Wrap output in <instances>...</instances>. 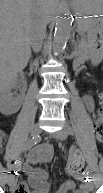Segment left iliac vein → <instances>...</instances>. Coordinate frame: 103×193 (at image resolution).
I'll return each mask as SVG.
<instances>
[{
	"mask_svg": "<svg viewBox=\"0 0 103 193\" xmlns=\"http://www.w3.org/2000/svg\"><path fill=\"white\" fill-rule=\"evenodd\" d=\"M53 136H54L56 139L65 140V139L67 138L66 129H61V130L55 132V133L53 134ZM87 186H88L89 189H92V188H93L92 182H88V183H87Z\"/></svg>",
	"mask_w": 103,
	"mask_h": 193,
	"instance_id": "1",
	"label": "left iliac vein"
}]
</instances>
